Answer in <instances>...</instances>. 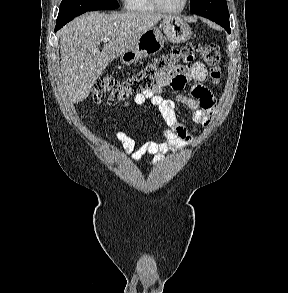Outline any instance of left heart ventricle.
Segmentation results:
<instances>
[{"label":"left heart ventricle","mask_w":288,"mask_h":293,"mask_svg":"<svg viewBox=\"0 0 288 293\" xmlns=\"http://www.w3.org/2000/svg\"><path fill=\"white\" fill-rule=\"evenodd\" d=\"M160 2L167 8L175 9L181 6L183 0H160Z\"/></svg>","instance_id":"obj_1"}]
</instances>
